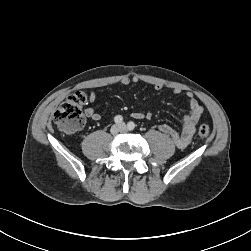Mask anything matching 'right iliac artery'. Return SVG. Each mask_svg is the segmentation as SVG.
Returning a JSON list of instances; mask_svg holds the SVG:
<instances>
[{
    "label": "right iliac artery",
    "instance_id": "1",
    "mask_svg": "<svg viewBox=\"0 0 251 251\" xmlns=\"http://www.w3.org/2000/svg\"><path fill=\"white\" fill-rule=\"evenodd\" d=\"M115 123L120 124L123 121V117L121 115H117L114 118Z\"/></svg>",
    "mask_w": 251,
    "mask_h": 251
}]
</instances>
